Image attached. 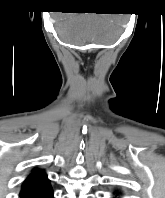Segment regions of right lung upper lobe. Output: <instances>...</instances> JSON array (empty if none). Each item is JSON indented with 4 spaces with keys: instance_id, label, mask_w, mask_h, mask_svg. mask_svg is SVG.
<instances>
[{
    "instance_id": "right-lung-upper-lobe-1",
    "label": "right lung upper lobe",
    "mask_w": 165,
    "mask_h": 198,
    "mask_svg": "<svg viewBox=\"0 0 165 198\" xmlns=\"http://www.w3.org/2000/svg\"><path fill=\"white\" fill-rule=\"evenodd\" d=\"M50 183L43 170H34L31 175L24 181L20 192V197L28 196L32 193L49 187Z\"/></svg>"
}]
</instances>
